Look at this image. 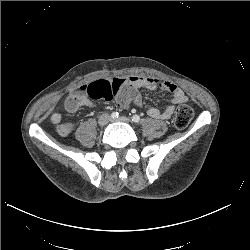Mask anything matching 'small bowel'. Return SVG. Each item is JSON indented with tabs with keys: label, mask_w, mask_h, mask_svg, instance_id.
Masks as SVG:
<instances>
[{
	"label": "small bowel",
	"mask_w": 250,
	"mask_h": 250,
	"mask_svg": "<svg viewBox=\"0 0 250 250\" xmlns=\"http://www.w3.org/2000/svg\"><path fill=\"white\" fill-rule=\"evenodd\" d=\"M118 89L116 96L117 103L121 106L120 92L123 90H130L132 92V98L130 103H134L137 106L142 105L141 95L139 89H156L160 88L168 91L172 94L173 98L171 105L164 110H160L156 107H150L147 113L154 119L166 120L169 119L175 110V106L187 102L188 98L184 91L176 84L169 81H160L151 77L143 76H128V77H116L111 80ZM94 107V102L88 98L87 85L80 86L75 92H73L64 102L63 108L67 112H75L80 107ZM122 107V106H121ZM52 124L56 126L57 133L62 136H68L73 130V124L71 122H63L59 113H53L50 117Z\"/></svg>",
	"instance_id": "c3829d8e"
}]
</instances>
